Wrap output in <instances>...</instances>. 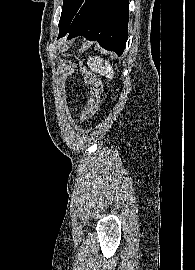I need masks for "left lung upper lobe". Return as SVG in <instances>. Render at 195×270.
Segmentation results:
<instances>
[{
    "label": "left lung upper lobe",
    "instance_id": "obj_1",
    "mask_svg": "<svg viewBox=\"0 0 195 270\" xmlns=\"http://www.w3.org/2000/svg\"><path fill=\"white\" fill-rule=\"evenodd\" d=\"M84 1L85 0H63V8L59 22L60 33L70 25Z\"/></svg>",
    "mask_w": 195,
    "mask_h": 270
}]
</instances>
